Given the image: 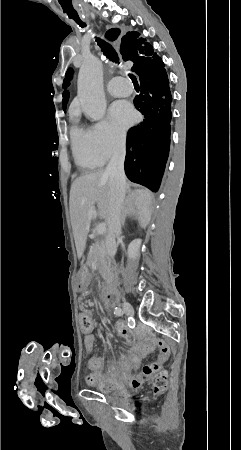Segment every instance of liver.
Instances as JSON below:
<instances>
[{"instance_id":"obj_1","label":"liver","mask_w":241,"mask_h":450,"mask_svg":"<svg viewBox=\"0 0 241 450\" xmlns=\"http://www.w3.org/2000/svg\"><path fill=\"white\" fill-rule=\"evenodd\" d=\"M128 208L125 214H136L140 228H147L152 218L153 194L150 190H131L126 184ZM109 176L104 170L82 174L76 178L70 190V216L77 250L82 258L92 218H104L107 226L111 220Z\"/></svg>"}]
</instances>
